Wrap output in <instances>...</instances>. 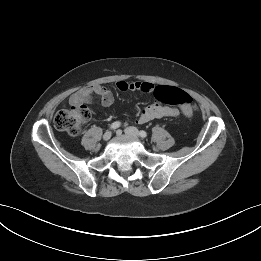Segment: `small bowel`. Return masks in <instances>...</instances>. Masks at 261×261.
Here are the masks:
<instances>
[{
	"label": "small bowel",
	"instance_id": "obj_1",
	"mask_svg": "<svg viewBox=\"0 0 261 261\" xmlns=\"http://www.w3.org/2000/svg\"><path fill=\"white\" fill-rule=\"evenodd\" d=\"M116 87L120 91H141L144 93H152L155 90V86L152 83L141 81H119L117 82ZM94 98H98L101 105L105 108L110 107L114 101L112 92L105 86L97 84L76 91L70 96L69 102L74 106L90 102ZM178 115L179 110L177 108L154 103L142 109L137 119V123L144 124L154 119L176 117Z\"/></svg>",
	"mask_w": 261,
	"mask_h": 261
}]
</instances>
